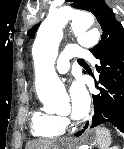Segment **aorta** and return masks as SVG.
<instances>
[{
    "label": "aorta",
    "mask_w": 124,
    "mask_h": 149,
    "mask_svg": "<svg viewBox=\"0 0 124 149\" xmlns=\"http://www.w3.org/2000/svg\"><path fill=\"white\" fill-rule=\"evenodd\" d=\"M70 23L78 42L84 47L96 45L100 38L97 28H92L94 18L83 11L58 9L49 13L37 32L33 45L36 68V92L45 106L57 109L66 95L65 88L54 70L63 28Z\"/></svg>",
    "instance_id": "aorta-1"
}]
</instances>
